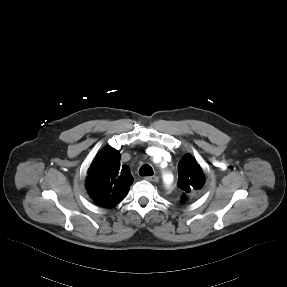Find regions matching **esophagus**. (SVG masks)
Instances as JSON below:
<instances>
[{
	"label": "esophagus",
	"instance_id": "esophagus-1",
	"mask_svg": "<svg viewBox=\"0 0 287 287\" xmlns=\"http://www.w3.org/2000/svg\"><path fill=\"white\" fill-rule=\"evenodd\" d=\"M145 180L151 181V182H158V181H159L158 177H157V176H154V175L146 176V177H145Z\"/></svg>",
	"mask_w": 287,
	"mask_h": 287
}]
</instances>
